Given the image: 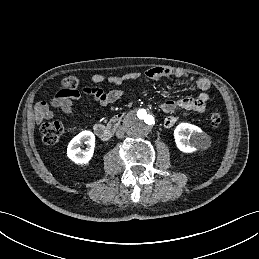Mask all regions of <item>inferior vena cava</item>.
<instances>
[{"instance_id": "obj_1", "label": "inferior vena cava", "mask_w": 259, "mask_h": 259, "mask_svg": "<svg viewBox=\"0 0 259 259\" xmlns=\"http://www.w3.org/2000/svg\"><path fill=\"white\" fill-rule=\"evenodd\" d=\"M125 133H126V129L124 127H119L116 131V137L122 138V137H124Z\"/></svg>"}]
</instances>
